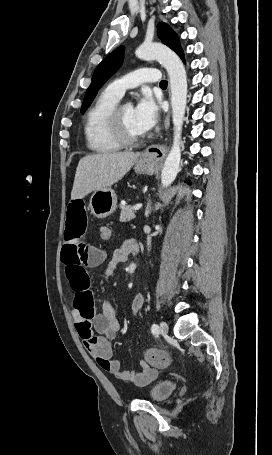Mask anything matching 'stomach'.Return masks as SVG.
<instances>
[{"instance_id":"0dacf381","label":"stomach","mask_w":272,"mask_h":455,"mask_svg":"<svg viewBox=\"0 0 272 455\" xmlns=\"http://www.w3.org/2000/svg\"><path fill=\"white\" fill-rule=\"evenodd\" d=\"M157 161L144 154L140 155L134 163V171L138 174L152 175L157 170ZM117 207V196L110 187L95 191L89 202L91 213L96 218H106L111 215Z\"/></svg>"}]
</instances>
